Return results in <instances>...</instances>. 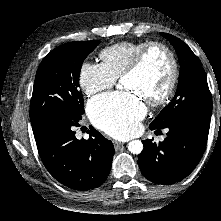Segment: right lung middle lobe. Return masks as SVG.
<instances>
[{"label":"right lung middle lobe","mask_w":221,"mask_h":221,"mask_svg":"<svg viewBox=\"0 0 221 221\" xmlns=\"http://www.w3.org/2000/svg\"><path fill=\"white\" fill-rule=\"evenodd\" d=\"M99 41H75L52 50L40 63L30 103L34 123L50 115H62L79 121L84 100L79 90V74L84 59Z\"/></svg>","instance_id":"1"}]
</instances>
